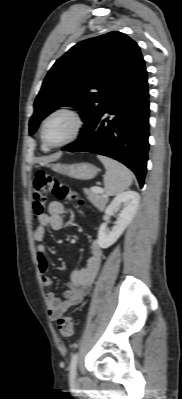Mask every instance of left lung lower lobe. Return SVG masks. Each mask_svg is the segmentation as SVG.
Listing matches in <instances>:
<instances>
[{
    "label": "left lung lower lobe",
    "mask_w": 182,
    "mask_h": 399,
    "mask_svg": "<svg viewBox=\"0 0 182 399\" xmlns=\"http://www.w3.org/2000/svg\"><path fill=\"white\" fill-rule=\"evenodd\" d=\"M149 93L142 67L110 98L87 132L62 150L86 151L114 158L144 184L149 150Z\"/></svg>",
    "instance_id": "obj_1"
}]
</instances>
